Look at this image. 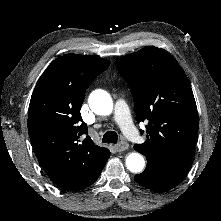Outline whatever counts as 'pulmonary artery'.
Here are the masks:
<instances>
[{
	"label": "pulmonary artery",
	"mask_w": 221,
	"mask_h": 221,
	"mask_svg": "<svg viewBox=\"0 0 221 221\" xmlns=\"http://www.w3.org/2000/svg\"><path fill=\"white\" fill-rule=\"evenodd\" d=\"M113 118L128 138L133 141L139 140V134L133 125L128 106L124 100L119 99L115 103Z\"/></svg>",
	"instance_id": "1"
}]
</instances>
